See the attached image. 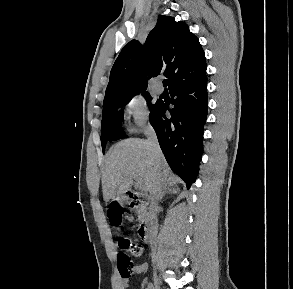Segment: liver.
Returning <instances> with one entry per match:
<instances>
[{"label": "liver", "mask_w": 293, "mask_h": 289, "mask_svg": "<svg viewBox=\"0 0 293 289\" xmlns=\"http://www.w3.org/2000/svg\"><path fill=\"white\" fill-rule=\"evenodd\" d=\"M170 168L162 154L154 153L147 140L129 138L117 143L106 157L102 170V191L105 201L131 189L133 179L150 192L153 184L162 178L168 181Z\"/></svg>", "instance_id": "liver-1"}]
</instances>
